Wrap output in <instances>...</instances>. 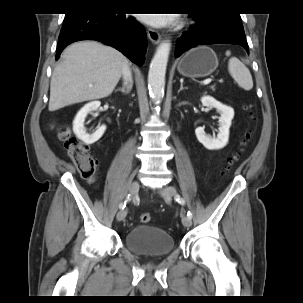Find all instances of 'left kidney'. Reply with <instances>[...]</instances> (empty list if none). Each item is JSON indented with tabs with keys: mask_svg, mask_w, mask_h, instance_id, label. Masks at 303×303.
Listing matches in <instances>:
<instances>
[{
	"mask_svg": "<svg viewBox=\"0 0 303 303\" xmlns=\"http://www.w3.org/2000/svg\"><path fill=\"white\" fill-rule=\"evenodd\" d=\"M201 102L203 106L216 108V110L221 113V116L219 117V132L216 138H212L211 136L206 135L203 127H198L195 130L196 137L208 150L222 149L227 145L229 140V129L234 117V110L208 95L203 96Z\"/></svg>",
	"mask_w": 303,
	"mask_h": 303,
	"instance_id": "left-kidney-1",
	"label": "left kidney"
}]
</instances>
